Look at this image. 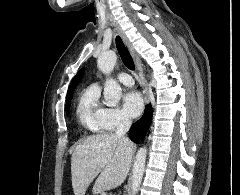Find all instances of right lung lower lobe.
<instances>
[{"mask_svg": "<svg viewBox=\"0 0 240 195\" xmlns=\"http://www.w3.org/2000/svg\"><path fill=\"white\" fill-rule=\"evenodd\" d=\"M152 120V107L151 105L146 106L145 112L140 120L135 122L130 131L129 136L131 140H133L136 143H139L140 140H142L147 133L150 124Z\"/></svg>", "mask_w": 240, "mask_h": 195, "instance_id": "98d812e1", "label": "right lung lower lobe"}]
</instances>
